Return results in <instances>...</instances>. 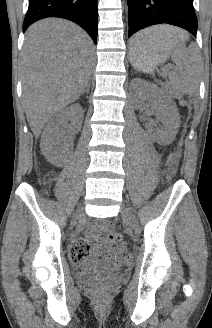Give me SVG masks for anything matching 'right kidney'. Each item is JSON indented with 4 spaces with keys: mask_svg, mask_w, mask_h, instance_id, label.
Segmentation results:
<instances>
[{
    "mask_svg": "<svg viewBox=\"0 0 212 328\" xmlns=\"http://www.w3.org/2000/svg\"><path fill=\"white\" fill-rule=\"evenodd\" d=\"M83 114L84 111L82 107L79 104H74L55 115L45 127L42 134L41 141L44 146V151L53 153L59 150L63 142L61 134H65L66 132L75 134L79 131L83 121ZM61 126L64 128L60 129ZM65 138L68 144L69 140L67 137Z\"/></svg>",
    "mask_w": 212,
    "mask_h": 328,
    "instance_id": "1",
    "label": "right kidney"
}]
</instances>
